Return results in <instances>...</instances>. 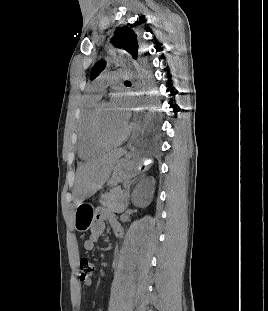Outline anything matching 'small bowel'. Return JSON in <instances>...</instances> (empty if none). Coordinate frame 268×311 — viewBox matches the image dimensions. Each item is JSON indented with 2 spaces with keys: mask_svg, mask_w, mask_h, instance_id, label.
Here are the masks:
<instances>
[{
  "mask_svg": "<svg viewBox=\"0 0 268 311\" xmlns=\"http://www.w3.org/2000/svg\"><path fill=\"white\" fill-rule=\"evenodd\" d=\"M107 223L111 226L112 230L117 236H123V229L115 217L106 211H102L97 216L90 236L83 242V247L85 250L90 251L94 248L95 244L98 242L99 238L104 232ZM81 284L84 287H89L92 284V280L91 278L81 279Z\"/></svg>",
  "mask_w": 268,
  "mask_h": 311,
  "instance_id": "1",
  "label": "small bowel"
}]
</instances>
